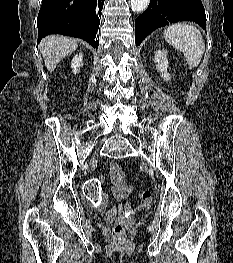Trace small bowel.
<instances>
[{
    "mask_svg": "<svg viewBox=\"0 0 233 263\" xmlns=\"http://www.w3.org/2000/svg\"><path fill=\"white\" fill-rule=\"evenodd\" d=\"M110 176L112 183L111 191L114 198L118 201H122L128 198L131 191V187L126 179L122 167L118 163L111 164ZM100 181L102 182L103 178H100ZM107 202H108V196L104 193L103 198L101 199L99 204L96 205V207L98 208L99 211H105ZM129 208H130V204L126 202L125 204L110 209L109 211H107V214L112 216L117 212L126 211Z\"/></svg>",
    "mask_w": 233,
    "mask_h": 263,
    "instance_id": "obj_1",
    "label": "small bowel"
}]
</instances>
